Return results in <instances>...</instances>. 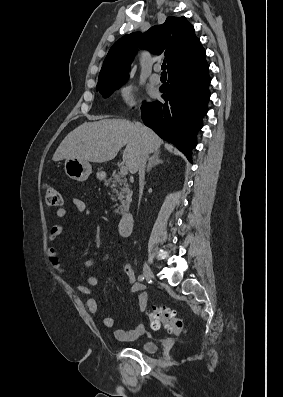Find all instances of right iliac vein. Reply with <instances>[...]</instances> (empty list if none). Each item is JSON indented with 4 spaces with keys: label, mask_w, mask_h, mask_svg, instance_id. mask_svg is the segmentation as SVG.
Segmentation results:
<instances>
[{
    "label": "right iliac vein",
    "mask_w": 283,
    "mask_h": 397,
    "mask_svg": "<svg viewBox=\"0 0 283 397\" xmlns=\"http://www.w3.org/2000/svg\"><path fill=\"white\" fill-rule=\"evenodd\" d=\"M143 274L147 280H151L153 278L151 268L147 262L144 263Z\"/></svg>",
    "instance_id": "obj_1"
}]
</instances>
